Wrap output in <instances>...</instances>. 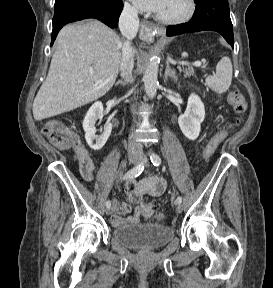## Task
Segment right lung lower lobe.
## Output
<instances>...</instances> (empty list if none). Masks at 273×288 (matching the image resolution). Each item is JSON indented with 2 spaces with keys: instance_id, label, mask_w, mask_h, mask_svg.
Returning a JSON list of instances; mask_svg holds the SVG:
<instances>
[{
  "instance_id": "1",
  "label": "right lung lower lobe",
  "mask_w": 273,
  "mask_h": 288,
  "mask_svg": "<svg viewBox=\"0 0 273 288\" xmlns=\"http://www.w3.org/2000/svg\"><path fill=\"white\" fill-rule=\"evenodd\" d=\"M122 8V0L107 3L99 0L65 1L55 4L51 46L60 29L70 22L95 18L111 28L117 27Z\"/></svg>"
}]
</instances>
